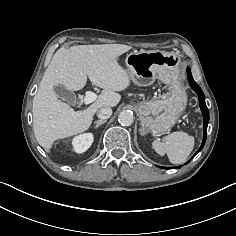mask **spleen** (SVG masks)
Returning a JSON list of instances; mask_svg holds the SVG:
<instances>
[{"label":"spleen","mask_w":236,"mask_h":236,"mask_svg":"<svg viewBox=\"0 0 236 236\" xmlns=\"http://www.w3.org/2000/svg\"><path fill=\"white\" fill-rule=\"evenodd\" d=\"M194 137L184 131H176L167 135L162 140L152 142L153 149L159 155L167 154L173 164L184 163L194 148Z\"/></svg>","instance_id":"obj_1"}]
</instances>
